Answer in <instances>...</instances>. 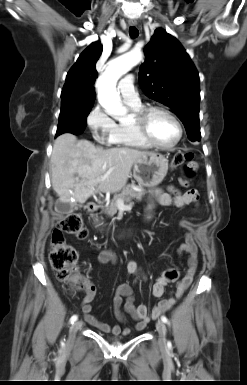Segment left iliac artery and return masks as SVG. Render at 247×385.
I'll use <instances>...</instances> for the list:
<instances>
[{"label": "left iliac artery", "mask_w": 247, "mask_h": 385, "mask_svg": "<svg viewBox=\"0 0 247 385\" xmlns=\"http://www.w3.org/2000/svg\"><path fill=\"white\" fill-rule=\"evenodd\" d=\"M161 320H162L164 323L169 324V321H168V319H167L166 316H162V317H161Z\"/></svg>", "instance_id": "left-iliac-artery-1"}]
</instances>
